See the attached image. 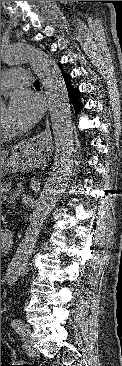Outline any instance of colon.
<instances>
[{"label": "colon", "instance_id": "colon-1", "mask_svg": "<svg viewBox=\"0 0 122 366\" xmlns=\"http://www.w3.org/2000/svg\"><path fill=\"white\" fill-rule=\"evenodd\" d=\"M1 359L4 362H8L7 364H5L6 366H9L10 365L9 362L12 361V356H11V353H10V348H9V346L6 343H4L2 341H1ZM28 366H33V365H28Z\"/></svg>", "mask_w": 122, "mask_h": 366}]
</instances>
